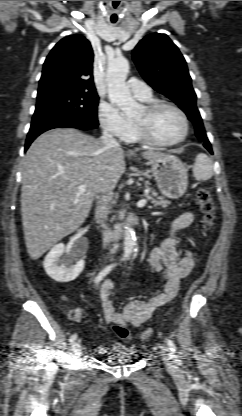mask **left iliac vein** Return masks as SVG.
Masks as SVG:
<instances>
[{
	"mask_svg": "<svg viewBox=\"0 0 242 416\" xmlns=\"http://www.w3.org/2000/svg\"><path fill=\"white\" fill-rule=\"evenodd\" d=\"M162 350L166 353V357H167V363L170 366L172 365V362L170 361V353H169V349L167 347H163Z\"/></svg>",
	"mask_w": 242,
	"mask_h": 416,
	"instance_id": "obj_1",
	"label": "left iliac vein"
}]
</instances>
